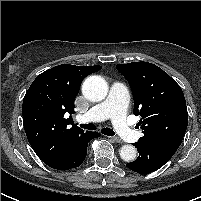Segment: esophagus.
<instances>
[{"instance_id":"esophagus-1","label":"esophagus","mask_w":201,"mask_h":201,"mask_svg":"<svg viewBox=\"0 0 201 201\" xmlns=\"http://www.w3.org/2000/svg\"><path fill=\"white\" fill-rule=\"evenodd\" d=\"M110 139L113 140L114 142L122 143V140L119 137L111 136Z\"/></svg>"}]
</instances>
